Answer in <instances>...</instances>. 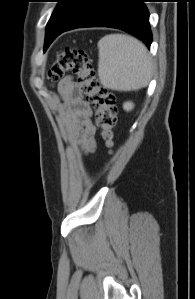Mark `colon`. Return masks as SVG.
Listing matches in <instances>:
<instances>
[{
	"label": "colon",
	"instance_id": "1",
	"mask_svg": "<svg viewBox=\"0 0 195 299\" xmlns=\"http://www.w3.org/2000/svg\"><path fill=\"white\" fill-rule=\"evenodd\" d=\"M69 72L77 76L83 94L95 109L100 137L106 147H111L118 117L115 95L100 85L84 50L65 49L59 52L49 69L48 79L56 82Z\"/></svg>",
	"mask_w": 195,
	"mask_h": 299
}]
</instances>
